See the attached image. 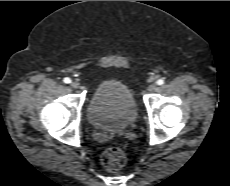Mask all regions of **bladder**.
Instances as JSON below:
<instances>
[{"label": "bladder", "mask_w": 230, "mask_h": 186, "mask_svg": "<svg viewBox=\"0 0 230 186\" xmlns=\"http://www.w3.org/2000/svg\"><path fill=\"white\" fill-rule=\"evenodd\" d=\"M87 116L98 129L116 132L132 126L137 118V107L129 88L117 80H105L93 91Z\"/></svg>", "instance_id": "obj_1"}]
</instances>
